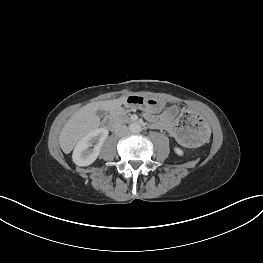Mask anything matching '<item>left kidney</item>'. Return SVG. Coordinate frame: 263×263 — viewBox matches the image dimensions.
Instances as JSON below:
<instances>
[{
  "label": "left kidney",
  "mask_w": 263,
  "mask_h": 263,
  "mask_svg": "<svg viewBox=\"0 0 263 263\" xmlns=\"http://www.w3.org/2000/svg\"><path fill=\"white\" fill-rule=\"evenodd\" d=\"M174 152L179 155V156H183L184 155V152L181 148L179 147H174Z\"/></svg>",
  "instance_id": "1"
}]
</instances>
